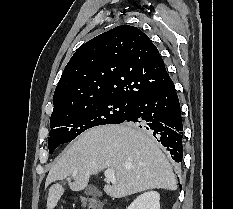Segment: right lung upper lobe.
I'll return each instance as SVG.
<instances>
[{
  "instance_id": "cb5924a9",
  "label": "right lung upper lobe",
  "mask_w": 233,
  "mask_h": 209,
  "mask_svg": "<svg viewBox=\"0 0 233 209\" xmlns=\"http://www.w3.org/2000/svg\"><path fill=\"white\" fill-rule=\"evenodd\" d=\"M169 78L149 37L136 27L121 25L76 50L55 89L52 115L102 99L133 102Z\"/></svg>"
}]
</instances>
